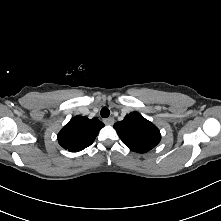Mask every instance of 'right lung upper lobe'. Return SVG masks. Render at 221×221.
Wrapping results in <instances>:
<instances>
[{"instance_id": "right-lung-upper-lobe-1", "label": "right lung upper lobe", "mask_w": 221, "mask_h": 221, "mask_svg": "<svg viewBox=\"0 0 221 221\" xmlns=\"http://www.w3.org/2000/svg\"><path fill=\"white\" fill-rule=\"evenodd\" d=\"M104 123L98 118L75 116L58 133L59 144L70 152H78L90 146Z\"/></svg>"}]
</instances>
